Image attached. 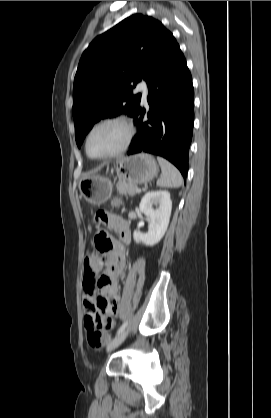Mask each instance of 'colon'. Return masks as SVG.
I'll list each match as a JSON object with an SVG mask.
<instances>
[{
    "instance_id": "obj_1",
    "label": "colon",
    "mask_w": 271,
    "mask_h": 418,
    "mask_svg": "<svg viewBox=\"0 0 271 418\" xmlns=\"http://www.w3.org/2000/svg\"><path fill=\"white\" fill-rule=\"evenodd\" d=\"M99 219H105L103 215ZM95 247L97 253H105L112 250V242L104 233H99L95 238ZM106 304L105 298L97 300V307L103 308ZM85 327L87 330L88 343L93 348L101 347L105 342L106 325L97 310H90L85 315Z\"/></svg>"
}]
</instances>
